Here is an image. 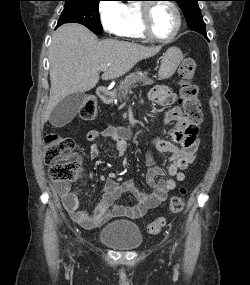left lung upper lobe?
Returning <instances> with one entry per match:
<instances>
[{
  "label": "left lung upper lobe",
  "mask_w": 250,
  "mask_h": 285,
  "mask_svg": "<svg viewBox=\"0 0 250 285\" xmlns=\"http://www.w3.org/2000/svg\"><path fill=\"white\" fill-rule=\"evenodd\" d=\"M182 9L188 26L191 30L200 34L206 33V26L203 21L200 8L198 6L199 0H174Z\"/></svg>",
  "instance_id": "obj_1"
}]
</instances>
